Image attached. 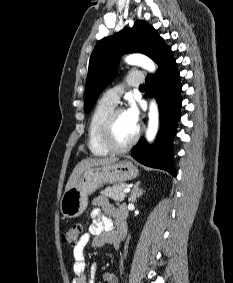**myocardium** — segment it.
<instances>
[{"instance_id": "obj_1", "label": "myocardium", "mask_w": 233, "mask_h": 283, "mask_svg": "<svg viewBox=\"0 0 233 283\" xmlns=\"http://www.w3.org/2000/svg\"><path fill=\"white\" fill-rule=\"evenodd\" d=\"M121 112H124L123 108H114L107 116L101 130V143L104 146L106 150H108L111 153H124L130 150L135 143L138 141L140 136V127L137 126L136 132L132 139L123 146H118L113 142L112 138V132H113V126L116 120V117Z\"/></svg>"}]
</instances>
